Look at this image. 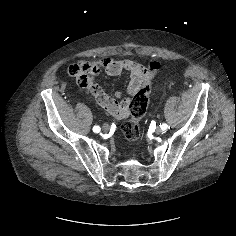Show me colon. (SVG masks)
<instances>
[{
    "label": "colon",
    "mask_w": 236,
    "mask_h": 236,
    "mask_svg": "<svg viewBox=\"0 0 236 236\" xmlns=\"http://www.w3.org/2000/svg\"><path fill=\"white\" fill-rule=\"evenodd\" d=\"M160 68V63L158 61H152L146 68L150 72V84L142 87L140 91L134 96L131 102L130 118L126 120L122 125V132L124 136L130 140L135 141L140 138L141 127L140 121L146 113L149 105V94L152 87L153 79Z\"/></svg>",
    "instance_id": "1"
}]
</instances>
